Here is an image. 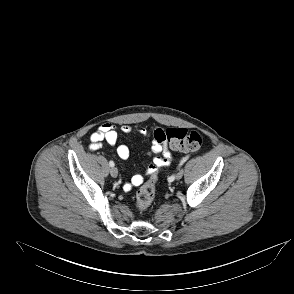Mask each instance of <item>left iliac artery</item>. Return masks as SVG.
Instances as JSON below:
<instances>
[{
  "mask_svg": "<svg viewBox=\"0 0 294 294\" xmlns=\"http://www.w3.org/2000/svg\"><path fill=\"white\" fill-rule=\"evenodd\" d=\"M188 158H189V156H186V157H184L181 161H180V164H179V168H178V170H180V167L188 160ZM167 180L169 181V182H172L173 180H174V175L173 176H168L167 177Z\"/></svg>",
  "mask_w": 294,
  "mask_h": 294,
  "instance_id": "1",
  "label": "left iliac artery"
}]
</instances>
